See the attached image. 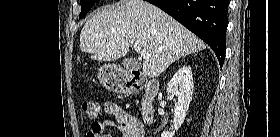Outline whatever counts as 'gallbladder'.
<instances>
[{
	"instance_id": "gallbladder-1",
	"label": "gallbladder",
	"mask_w": 280,
	"mask_h": 137,
	"mask_svg": "<svg viewBox=\"0 0 280 137\" xmlns=\"http://www.w3.org/2000/svg\"><path fill=\"white\" fill-rule=\"evenodd\" d=\"M122 64L128 71L140 69V64L130 58L124 59Z\"/></svg>"
}]
</instances>
